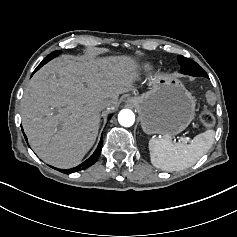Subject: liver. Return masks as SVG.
<instances>
[{"instance_id": "liver-1", "label": "liver", "mask_w": 237, "mask_h": 237, "mask_svg": "<svg viewBox=\"0 0 237 237\" xmlns=\"http://www.w3.org/2000/svg\"><path fill=\"white\" fill-rule=\"evenodd\" d=\"M129 58L101 61L58 58L28 83L21 101L24 131L34 152L59 168L78 165L93 146L102 99L117 106V96L135 87Z\"/></svg>"}]
</instances>
